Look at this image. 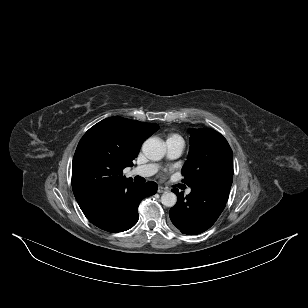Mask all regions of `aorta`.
<instances>
[{"label":"aorta","mask_w":308,"mask_h":308,"mask_svg":"<svg viewBox=\"0 0 308 308\" xmlns=\"http://www.w3.org/2000/svg\"><path fill=\"white\" fill-rule=\"evenodd\" d=\"M144 155L152 161H158L165 155V145L156 138H149L142 145ZM161 202L166 207H173L177 202V196L173 192H165L161 196Z\"/></svg>","instance_id":"aorta-1"}]
</instances>
